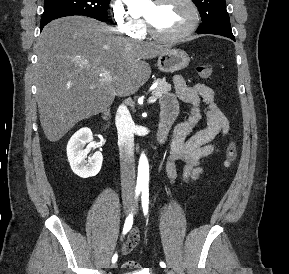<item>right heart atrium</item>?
Listing matches in <instances>:
<instances>
[{
	"instance_id": "obj_1",
	"label": "right heart atrium",
	"mask_w": 289,
	"mask_h": 274,
	"mask_svg": "<svg viewBox=\"0 0 289 274\" xmlns=\"http://www.w3.org/2000/svg\"><path fill=\"white\" fill-rule=\"evenodd\" d=\"M111 15L115 26L120 33L132 38H138L144 31V23L141 19L133 17L122 0H111Z\"/></svg>"
}]
</instances>
